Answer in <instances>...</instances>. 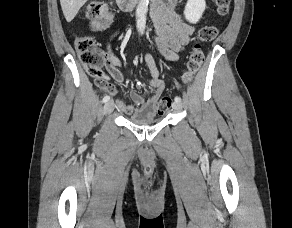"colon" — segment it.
Returning <instances> with one entry per match:
<instances>
[{"mask_svg": "<svg viewBox=\"0 0 292 228\" xmlns=\"http://www.w3.org/2000/svg\"><path fill=\"white\" fill-rule=\"evenodd\" d=\"M231 0H215L216 10L219 15L224 16L229 12ZM86 17L90 21H100L94 24L97 29L108 26L112 16L105 12L101 2L95 1L89 4L86 10ZM217 28L214 26H203L197 34L196 42L188 57L187 69L183 76L185 83H189L194 75L200 70L204 62V53L201 48L202 42H209L217 36ZM76 52L85 70L95 78L97 84L103 82L102 67L105 64L106 57L103 51L98 47L92 37H80L75 42ZM171 107V99L163 97L158 103V112L164 113Z\"/></svg>", "mask_w": 292, "mask_h": 228, "instance_id": "1", "label": "colon"}]
</instances>
